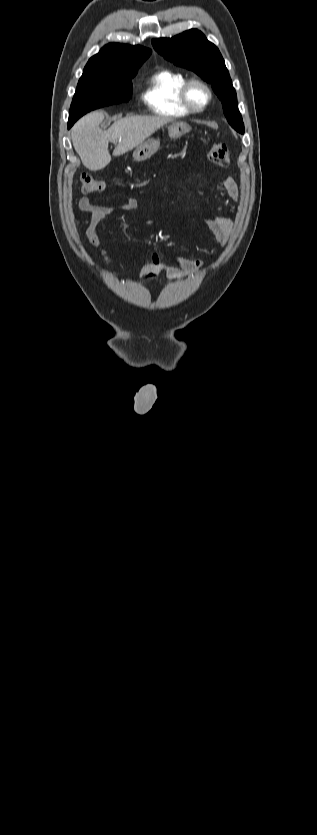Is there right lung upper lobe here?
I'll return each mask as SVG.
<instances>
[{
	"label": "right lung upper lobe",
	"mask_w": 317,
	"mask_h": 835,
	"mask_svg": "<svg viewBox=\"0 0 317 835\" xmlns=\"http://www.w3.org/2000/svg\"><path fill=\"white\" fill-rule=\"evenodd\" d=\"M150 54L151 50L142 46L109 43L89 59L83 74H103L139 68Z\"/></svg>",
	"instance_id": "obj_1"
}]
</instances>
